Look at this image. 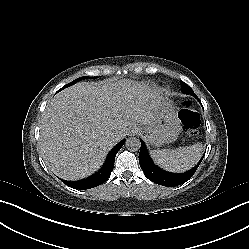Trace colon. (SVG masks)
I'll return each instance as SVG.
<instances>
[{
  "label": "colon",
  "instance_id": "5ec220e1",
  "mask_svg": "<svg viewBox=\"0 0 249 249\" xmlns=\"http://www.w3.org/2000/svg\"><path fill=\"white\" fill-rule=\"evenodd\" d=\"M181 120L185 124V130L188 136H194L197 134L200 119L194 110L188 107L184 109L181 113Z\"/></svg>",
  "mask_w": 249,
  "mask_h": 249
}]
</instances>
